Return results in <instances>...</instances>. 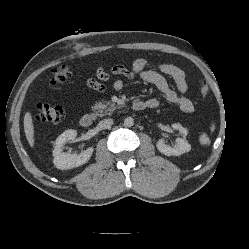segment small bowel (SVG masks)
Listing matches in <instances>:
<instances>
[{"label":"small bowel","mask_w":249,"mask_h":249,"mask_svg":"<svg viewBox=\"0 0 249 249\" xmlns=\"http://www.w3.org/2000/svg\"><path fill=\"white\" fill-rule=\"evenodd\" d=\"M147 66L148 61L144 58L136 59L131 68H126L123 65H114L109 70H106L102 65H97V78H87L86 84L96 91L103 92L106 89L103 82L112 80L117 76H122L128 80L141 78L159 89L164 94L166 100L176 104L181 112L186 114L192 113L194 105L187 96L188 85L184 72L179 67L168 63L157 65V70H148ZM164 75L174 80L177 91L170 88ZM124 84L123 78H116L113 81V88L121 90ZM79 94L82 97V93L80 92ZM145 104L147 108L155 109L159 107L160 102L157 98H149L145 101Z\"/></svg>","instance_id":"c3829d8e"}]
</instances>
